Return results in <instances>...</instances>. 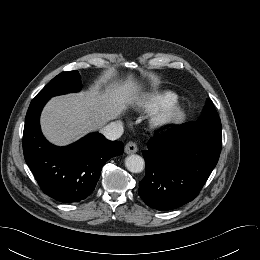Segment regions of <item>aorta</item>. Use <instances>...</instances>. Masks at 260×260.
Returning a JSON list of instances; mask_svg holds the SVG:
<instances>
[{"label": "aorta", "mask_w": 260, "mask_h": 260, "mask_svg": "<svg viewBox=\"0 0 260 260\" xmlns=\"http://www.w3.org/2000/svg\"><path fill=\"white\" fill-rule=\"evenodd\" d=\"M126 168L132 173H140L145 166L144 159L136 154H132L125 159Z\"/></svg>", "instance_id": "762f6f07"}]
</instances>
